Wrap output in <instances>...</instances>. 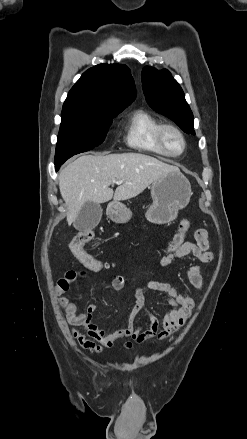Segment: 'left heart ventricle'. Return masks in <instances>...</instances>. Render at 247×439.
<instances>
[{"mask_svg":"<svg viewBox=\"0 0 247 439\" xmlns=\"http://www.w3.org/2000/svg\"><path fill=\"white\" fill-rule=\"evenodd\" d=\"M165 143L172 152H179L182 148L181 139L173 131H167L165 133Z\"/></svg>","mask_w":247,"mask_h":439,"instance_id":"obj_1","label":"left heart ventricle"}]
</instances>
